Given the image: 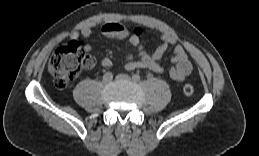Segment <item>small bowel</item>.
Returning a JSON list of instances; mask_svg holds the SVG:
<instances>
[{"mask_svg": "<svg viewBox=\"0 0 259 156\" xmlns=\"http://www.w3.org/2000/svg\"><path fill=\"white\" fill-rule=\"evenodd\" d=\"M100 32L105 37L128 39L130 44L137 48L139 59L135 60L133 54H129L125 65L127 70L148 69L157 73L164 72L165 69L161 65V60L169 47L173 46L172 66L168 70L170 77L176 81H183L192 72V64L184 47L178 44L175 37L170 34L163 33L155 50L149 53L141 44L139 36L122 24L115 22L106 23L101 27ZM92 34L93 29L85 27L80 31L72 32L70 38L72 40H76L79 37L88 38ZM84 49L89 52L92 50V47L87 44L84 46ZM102 65L110 67L112 60L109 57H105L102 60Z\"/></svg>", "mask_w": 259, "mask_h": 156, "instance_id": "c3829d8e", "label": "small bowel"}]
</instances>
